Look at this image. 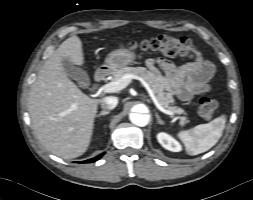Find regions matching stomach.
Listing matches in <instances>:
<instances>
[{"label": "stomach", "mask_w": 253, "mask_h": 200, "mask_svg": "<svg viewBox=\"0 0 253 200\" xmlns=\"http://www.w3.org/2000/svg\"><path fill=\"white\" fill-rule=\"evenodd\" d=\"M136 54L128 49L114 50L106 58L103 67L108 71L114 72L121 68L126 67L134 62Z\"/></svg>", "instance_id": "0dacf381"}]
</instances>
